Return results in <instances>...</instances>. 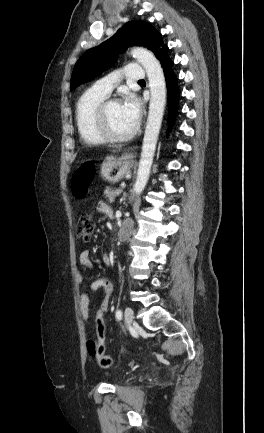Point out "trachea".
Listing matches in <instances>:
<instances>
[{"label": "trachea", "mask_w": 264, "mask_h": 433, "mask_svg": "<svg viewBox=\"0 0 264 433\" xmlns=\"http://www.w3.org/2000/svg\"><path fill=\"white\" fill-rule=\"evenodd\" d=\"M139 82H144V80H139Z\"/></svg>", "instance_id": "1"}]
</instances>
